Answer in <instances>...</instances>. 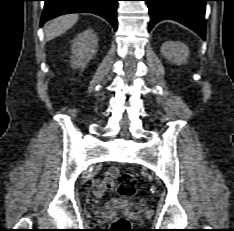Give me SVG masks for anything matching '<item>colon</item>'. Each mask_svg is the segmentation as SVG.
<instances>
[{"instance_id": "colon-1", "label": "colon", "mask_w": 234, "mask_h": 231, "mask_svg": "<svg viewBox=\"0 0 234 231\" xmlns=\"http://www.w3.org/2000/svg\"><path fill=\"white\" fill-rule=\"evenodd\" d=\"M118 181V194L124 197H133L137 192V180L135 176L130 172H123L118 174L116 172ZM113 228L115 231H129L130 224L128 220L124 217H118Z\"/></svg>"}]
</instances>
